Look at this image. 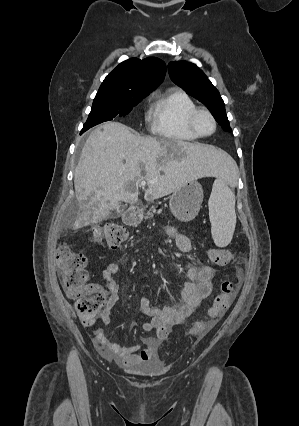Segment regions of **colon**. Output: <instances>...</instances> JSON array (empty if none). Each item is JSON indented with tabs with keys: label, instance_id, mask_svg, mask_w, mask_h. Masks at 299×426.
<instances>
[{
	"label": "colon",
	"instance_id": "colon-1",
	"mask_svg": "<svg viewBox=\"0 0 299 426\" xmlns=\"http://www.w3.org/2000/svg\"><path fill=\"white\" fill-rule=\"evenodd\" d=\"M126 235V230L114 223L93 230V238L110 247L120 245L125 240ZM207 255L214 264L219 266H225L235 258L232 251L222 248H210ZM56 258L66 295L76 300V309L83 323L92 325L105 304L106 298L95 287L87 284L88 273L85 256L67 246H62L58 249ZM237 289L238 284L236 282L229 279L224 280L208 310L207 318L196 322L189 330V334L200 337L209 332L231 306Z\"/></svg>",
	"mask_w": 299,
	"mask_h": 426
}]
</instances>
